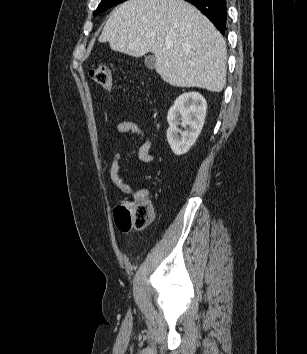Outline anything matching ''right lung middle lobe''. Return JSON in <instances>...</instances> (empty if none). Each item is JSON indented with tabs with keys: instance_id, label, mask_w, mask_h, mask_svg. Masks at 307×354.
<instances>
[{
	"instance_id": "right-lung-middle-lobe-1",
	"label": "right lung middle lobe",
	"mask_w": 307,
	"mask_h": 354,
	"mask_svg": "<svg viewBox=\"0 0 307 354\" xmlns=\"http://www.w3.org/2000/svg\"><path fill=\"white\" fill-rule=\"evenodd\" d=\"M126 0H101V3L99 4L98 8L95 10L94 15L100 14L107 9L120 4Z\"/></svg>"
}]
</instances>
